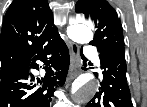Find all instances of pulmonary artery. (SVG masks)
I'll return each instance as SVG.
<instances>
[{"label":"pulmonary artery","mask_w":147,"mask_h":107,"mask_svg":"<svg viewBox=\"0 0 147 107\" xmlns=\"http://www.w3.org/2000/svg\"><path fill=\"white\" fill-rule=\"evenodd\" d=\"M85 52H86V54H87L89 57H91V58H95V57H96V55H95V50L92 49L91 47H87V48L85 49ZM95 60H96V62L98 63L97 59H95Z\"/></svg>","instance_id":"1"}]
</instances>
